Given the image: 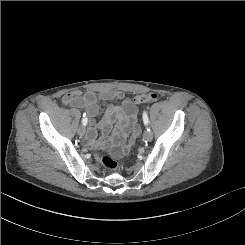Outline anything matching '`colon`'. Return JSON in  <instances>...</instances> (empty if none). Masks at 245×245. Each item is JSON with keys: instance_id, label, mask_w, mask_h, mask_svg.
I'll return each mask as SVG.
<instances>
[{"instance_id": "colon-1", "label": "colon", "mask_w": 245, "mask_h": 245, "mask_svg": "<svg viewBox=\"0 0 245 245\" xmlns=\"http://www.w3.org/2000/svg\"><path fill=\"white\" fill-rule=\"evenodd\" d=\"M76 100L78 97L75 98ZM157 99V95L154 93L140 94L134 97V102L137 104L150 103ZM97 160L103 167L109 170H114L117 167V161L110 156H98Z\"/></svg>"}]
</instances>
